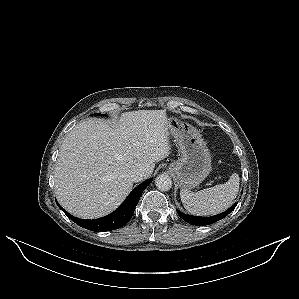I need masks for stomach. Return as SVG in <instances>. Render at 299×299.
I'll list each match as a JSON object with an SVG mask.
<instances>
[{
    "label": "stomach",
    "instance_id": "stomach-1",
    "mask_svg": "<svg viewBox=\"0 0 299 299\" xmlns=\"http://www.w3.org/2000/svg\"><path fill=\"white\" fill-rule=\"evenodd\" d=\"M169 132L178 143L181 158L169 166L180 187L192 189L211 172V155L199 131L175 116H169Z\"/></svg>",
    "mask_w": 299,
    "mask_h": 299
}]
</instances>
